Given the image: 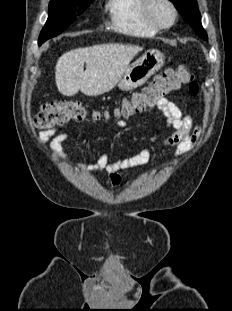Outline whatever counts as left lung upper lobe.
Listing matches in <instances>:
<instances>
[{"label":"left lung upper lobe","mask_w":232,"mask_h":311,"mask_svg":"<svg viewBox=\"0 0 232 311\" xmlns=\"http://www.w3.org/2000/svg\"><path fill=\"white\" fill-rule=\"evenodd\" d=\"M175 5L176 9L180 12L182 17L189 22L195 32L207 39V34L202 27L200 12L196 0H170Z\"/></svg>","instance_id":"obj_1"}]
</instances>
